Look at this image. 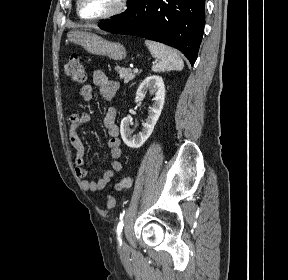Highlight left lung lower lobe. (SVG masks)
I'll return each mask as SVG.
<instances>
[{"mask_svg": "<svg viewBox=\"0 0 288 280\" xmlns=\"http://www.w3.org/2000/svg\"><path fill=\"white\" fill-rule=\"evenodd\" d=\"M204 3L205 0H136L124 13L98 26L108 32L167 44L194 64L204 30Z\"/></svg>", "mask_w": 288, "mask_h": 280, "instance_id": "0a47b994", "label": "left lung lower lobe"}]
</instances>
